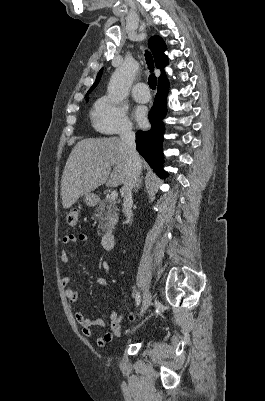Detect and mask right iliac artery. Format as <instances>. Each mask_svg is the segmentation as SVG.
<instances>
[{"mask_svg":"<svg viewBox=\"0 0 265 401\" xmlns=\"http://www.w3.org/2000/svg\"><path fill=\"white\" fill-rule=\"evenodd\" d=\"M135 301H136L137 306H139L141 303V296H140L139 292L136 293Z\"/></svg>","mask_w":265,"mask_h":401,"instance_id":"82829eb1","label":"right iliac artery"}]
</instances>
